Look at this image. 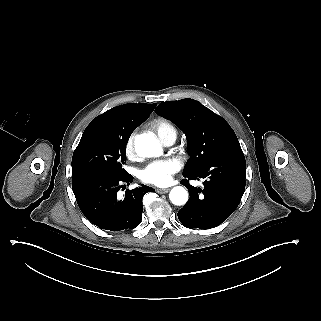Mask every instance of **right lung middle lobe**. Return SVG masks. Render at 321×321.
I'll list each match as a JSON object with an SVG mask.
<instances>
[{
    "label": "right lung middle lobe",
    "mask_w": 321,
    "mask_h": 321,
    "mask_svg": "<svg viewBox=\"0 0 321 321\" xmlns=\"http://www.w3.org/2000/svg\"><path fill=\"white\" fill-rule=\"evenodd\" d=\"M136 126L118 125L106 116H98L85 129L72 157V169H98L114 175L127 172L126 144Z\"/></svg>",
    "instance_id": "right-lung-middle-lobe-1"
}]
</instances>
